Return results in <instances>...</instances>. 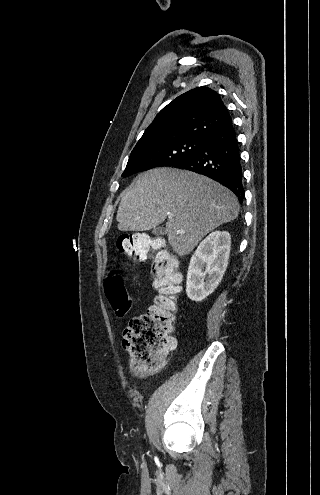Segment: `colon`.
I'll return each mask as SVG.
<instances>
[{"label": "colon", "mask_w": 320, "mask_h": 495, "mask_svg": "<svg viewBox=\"0 0 320 495\" xmlns=\"http://www.w3.org/2000/svg\"><path fill=\"white\" fill-rule=\"evenodd\" d=\"M116 245L135 262L151 260L153 286L159 292L148 312L132 318L123 332L122 345L129 355L130 369L141 379L160 371L175 348L170 332L181 276L176 259L162 239L137 232L121 235ZM104 291L114 312L124 316L131 307V299L118 272L108 273Z\"/></svg>", "instance_id": "colon-1"}]
</instances>
